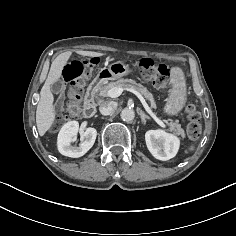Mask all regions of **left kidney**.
Masks as SVG:
<instances>
[{
	"mask_svg": "<svg viewBox=\"0 0 236 236\" xmlns=\"http://www.w3.org/2000/svg\"><path fill=\"white\" fill-rule=\"evenodd\" d=\"M145 141L150 153L158 160L166 161L173 158L179 149L180 141L163 130H149L145 134Z\"/></svg>",
	"mask_w": 236,
	"mask_h": 236,
	"instance_id": "1",
	"label": "left kidney"
}]
</instances>
